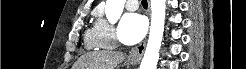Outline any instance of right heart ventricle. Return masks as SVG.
I'll use <instances>...</instances> for the list:
<instances>
[{
	"label": "right heart ventricle",
	"instance_id": "1",
	"mask_svg": "<svg viewBox=\"0 0 246 69\" xmlns=\"http://www.w3.org/2000/svg\"><path fill=\"white\" fill-rule=\"evenodd\" d=\"M85 46L87 49H105L107 47L100 45L99 35L96 28L88 29L85 33Z\"/></svg>",
	"mask_w": 246,
	"mask_h": 69
}]
</instances>
